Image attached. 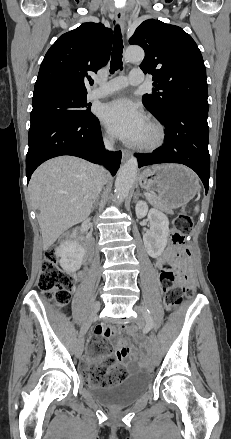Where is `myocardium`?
I'll return each instance as SVG.
<instances>
[{"label": "myocardium", "mask_w": 231, "mask_h": 439, "mask_svg": "<svg viewBox=\"0 0 231 439\" xmlns=\"http://www.w3.org/2000/svg\"><path fill=\"white\" fill-rule=\"evenodd\" d=\"M148 126L151 129V136L136 145V147L142 151H153L161 147L166 137L165 129L159 121L151 119L148 122Z\"/></svg>", "instance_id": "obj_1"}]
</instances>
